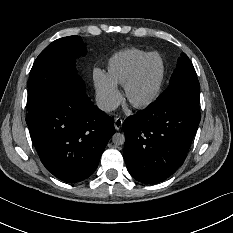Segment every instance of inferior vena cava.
I'll list each match as a JSON object with an SVG mask.
<instances>
[{"instance_id":"1","label":"inferior vena cava","mask_w":233,"mask_h":233,"mask_svg":"<svg viewBox=\"0 0 233 233\" xmlns=\"http://www.w3.org/2000/svg\"><path fill=\"white\" fill-rule=\"evenodd\" d=\"M96 104L99 109L105 112H111L118 107V103L116 101H112L108 98H97Z\"/></svg>"}]
</instances>
